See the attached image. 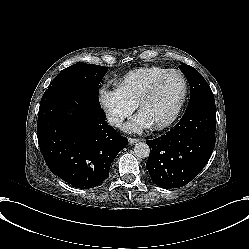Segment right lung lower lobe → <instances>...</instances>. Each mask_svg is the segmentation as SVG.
Returning <instances> with one entry per match:
<instances>
[{
	"label": "right lung lower lobe",
	"mask_w": 249,
	"mask_h": 249,
	"mask_svg": "<svg viewBox=\"0 0 249 249\" xmlns=\"http://www.w3.org/2000/svg\"><path fill=\"white\" fill-rule=\"evenodd\" d=\"M73 92L78 97H72ZM71 104L76 109L68 116L65 110ZM37 134L49 169L69 184L86 189L107 179L112 161L128 143L107 124L101 106L88 103L75 89L45 91Z\"/></svg>",
	"instance_id": "98d812e1"
}]
</instances>
